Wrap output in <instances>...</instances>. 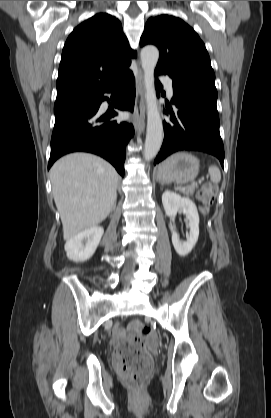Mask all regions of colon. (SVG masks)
Listing matches in <instances>:
<instances>
[{"label": "colon", "instance_id": "colon-1", "mask_svg": "<svg viewBox=\"0 0 271 418\" xmlns=\"http://www.w3.org/2000/svg\"><path fill=\"white\" fill-rule=\"evenodd\" d=\"M216 188L211 184L204 185L197 194L202 210L207 212L212 205ZM152 334L150 327H139L128 340L123 342L114 352L113 364L120 377L135 388L141 387L153 365L151 355L146 351L145 339Z\"/></svg>", "mask_w": 271, "mask_h": 418}]
</instances>
